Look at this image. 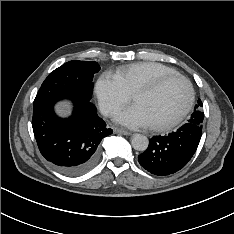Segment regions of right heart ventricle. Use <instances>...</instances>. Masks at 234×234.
<instances>
[{"mask_svg":"<svg viewBox=\"0 0 234 234\" xmlns=\"http://www.w3.org/2000/svg\"><path fill=\"white\" fill-rule=\"evenodd\" d=\"M178 74L166 65L155 62H141L119 67L115 75L131 95L141 86L147 85L163 76Z\"/></svg>","mask_w":234,"mask_h":234,"instance_id":"e07e8e85","label":"right heart ventricle"}]
</instances>
